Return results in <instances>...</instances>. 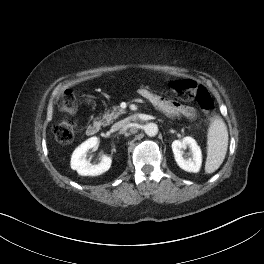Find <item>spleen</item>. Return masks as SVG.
Segmentation results:
<instances>
[{
	"label": "spleen",
	"mask_w": 264,
	"mask_h": 264,
	"mask_svg": "<svg viewBox=\"0 0 264 264\" xmlns=\"http://www.w3.org/2000/svg\"><path fill=\"white\" fill-rule=\"evenodd\" d=\"M228 148L227 126L222 118H215L208 129L207 135V158L205 172H215L223 163Z\"/></svg>",
	"instance_id": "3e777b00"
}]
</instances>
